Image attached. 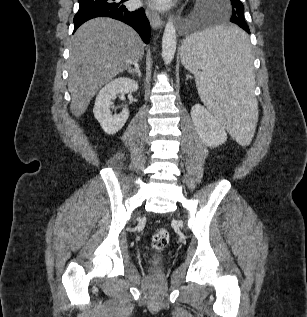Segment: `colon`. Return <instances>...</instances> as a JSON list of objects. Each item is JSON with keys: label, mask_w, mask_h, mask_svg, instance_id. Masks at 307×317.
Segmentation results:
<instances>
[{"label": "colon", "mask_w": 307, "mask_h": 317, "mask_svg": "<svg viewBox=\"0 0 307 317\" xmlns=\"http://www.w3.org/2000/svg\"><path fill=\"white\" fill-rule=\"evenodd\" d=\"M170 242V234L168 230L160 228L152 236V246L156 250L165 249Z\"/></svg>", "instance_id": "1"}]
</instances>
